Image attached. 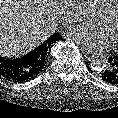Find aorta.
Wrapping results in <instances>:
<instances>
[{
    "mask_svg": "<svg viewBox=\"0 0 118 118\" xmlns=\"http://www.w3.org/2000/svg\"><path fill=\"white\" fill-rule=\"evenodd\" d=\"M90 7H86L85 12L90 13ZM91 68L97 71H101L108 65V60L105 55L95 53L90 59Z\"/></svg>",
    "mask_w": 118,
    "mask_h": 118,
    "instance_id": "obj_1",
    "label": "aorta"
}]
</instances>
